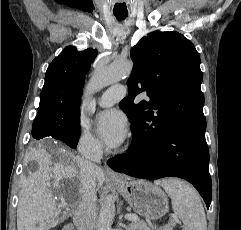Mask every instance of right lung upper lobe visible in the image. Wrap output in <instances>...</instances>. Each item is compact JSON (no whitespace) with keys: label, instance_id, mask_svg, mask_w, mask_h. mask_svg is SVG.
Returning <instances> with one entry per match:
<instances>
[{"label":"right lung upper lobe","instance_id":"cb5924a9","mask_svg":"<svg viewBox=\"0 0 241 230\" xmlns=\"http://www.w3.org/2000/svg\"><path fill=\"white\" fill-rule=\"evenodd\" d=\"M97 56V50L77 51L67 46L48 66L38 112L79 108L84 74Z\"/></svg>","mask_w":241,"mask_h":230}]
</instances>
